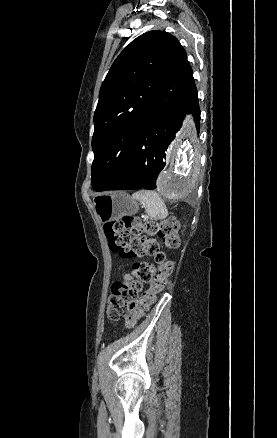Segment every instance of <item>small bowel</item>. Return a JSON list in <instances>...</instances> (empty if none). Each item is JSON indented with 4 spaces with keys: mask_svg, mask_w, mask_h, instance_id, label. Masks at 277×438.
Returning <instances> with one entry per match:
<instances>
[{
    "mask_svg": "<svg viewBox=\"0 0 277 438\" xmlns=\"http://www.w3.org/2000/svg\"><path fill=\"white\" fill-rule=\"evenodd\" d=\"M124 279L127 281H130L132 279V277L129 274H125Z\"/></svg>",
    "mask_w": 277,
    "mask_h": 438,
    "instance_id": "obj_1",
    "label": "small bowel"
}]
</instances>
